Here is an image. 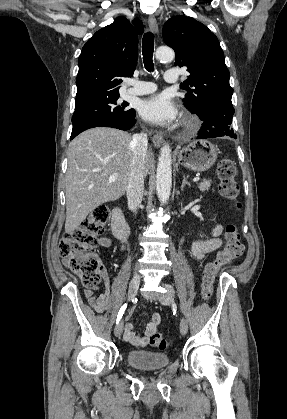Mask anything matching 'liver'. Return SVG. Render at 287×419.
<instances>
[{
	"mask_svg": "<svg viewBox=\"0 0 287 419\" xmlns=\"http://www.w3.org/2000/svg\"><path fill=\"white\" fill-rule=\"evenodd\" d=\"M131 140L127 132L100 127L81 133L69 144L65 177L67 234H72L98 206L124 195L133 157ZM151 163L147 151L145 174ZM113 174L117 179L111 182Z\"/></svg>",
	"mask_w": 287,
	"mask_h": 419,
	"instance_id": "1",
	"label": "liver"
}]
</instances>
